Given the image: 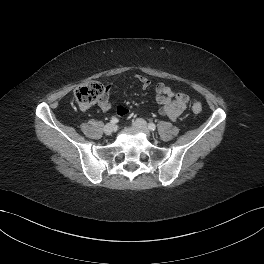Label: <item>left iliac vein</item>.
Wrapping results in <instances>:
<instances>
[{"label": "left iliac vein", "mask_w": 264, "mask_h": 264, "mask_svg": "<svg viewBox=\"0 0 264 264\" xmlns=\"http://www.w3.org/2000/svg\"><path fill=\"white\" fill-rule=\"evenodd\" d=\"M133 126L137 129H139L140 131H142L143 133H145V135L150 138L151 137V133H150V130L147 126V123L146 121H144L143 119H136L134 122H133Z\"/></svg>", "instance_id": "left-iliac-vein-1"}]
</instances>
